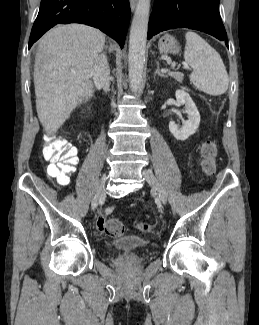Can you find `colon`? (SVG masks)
<instances>
[{
	"instance_id": "obj_1",
	"label": "colon",
	"mask_w": 259,
	"mask_h": 325,
	"mask_svg": "<svg viewBox=\"0 0 259 325\" xmlns=\"http://www.w3.org/2000/svg\"><path fill=\"white\" fill-rule=\"evenodd\" d=\"M216 152V145L212 141L205 142L201 148L202 167L207 174L215 172ZM43 155L50 162L47 169L49 176L60 185L67 184L78 162L76 148L63 138L52 137L46 142ZM137 227L144 233L152 230V225L147 223H139ZM104 231L112 237H119L123 235L125 226L121 220L113 218L106 221Z\"/></svg>"
}]
</instances>
